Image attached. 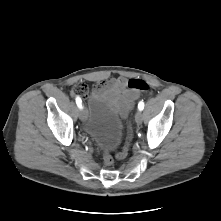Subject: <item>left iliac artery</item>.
<instances>
[{"label": "left iliac artery", "mask_w": 221, "mask_h": 221, "mask_svg": "<svg viewBox=\"0 0 221 221\" xmlns=\"http://www.w3.org/2000/svg\"><path fill=\"white\" fill-rule=\"evenodd\" d=\"M143 108H144V103L141 101V102H139V104H138V109H139V110H143Z\"/></svg>", "instance_id": "obj_1"}]
</instances>
